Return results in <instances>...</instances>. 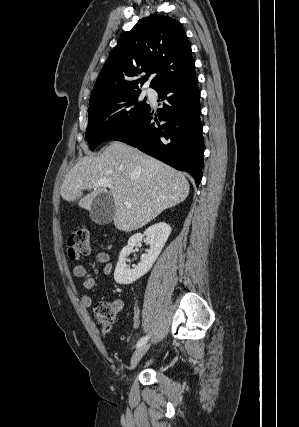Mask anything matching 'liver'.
<instances>
[{"instance_id": "obj_1", "label": "liver", "mask_w": 299, "mask_h": 427, "mask_svg": "<svg viewBox=\"0 0 299 427\" xmlns=\"http://www.w3.org/2000/svg\"><path fill=\"white\" fill-rule=\"evenodd\" d=\"M102 179L111 187L97 185ZM83 190L90 193L83 196ZM102 192L114 199L115 227L130 232L183 202L189 194V183L181 172L163 162L137 148L113 142L99 156L80 159L65 176L61 188L64 200L79 199L78 206L87 210ZM125 202H130L131 208H127Z\"/></svg>"}]
</instances>
